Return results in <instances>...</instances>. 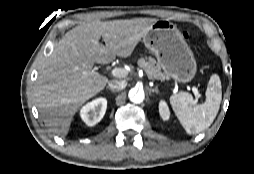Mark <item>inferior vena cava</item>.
<instances>
[{
  "label": "inferior vena cava",
  "instance_id": "1",
  "mask_svg": "<svg viewBox=\"0 0 254 174\" xmlns=\"http://www.w3.org/2000/svg\"><path fill=\"white\" fill-rule=\"evenodd\" d=\"M127 85V82L124 81V80H111L109 83H108V87L110 88V90H113V91H119V90H122L126 87Z\"/></svg>",
  "mask_w": 254,
  "mask_h": 174
}]
</instances>
